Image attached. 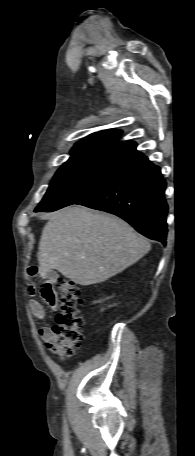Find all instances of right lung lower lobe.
Segmentation results:
<instances>
[{"label":"right lung lower lobe","mask_w":195,"mask_h":456,"mask_svg":"<svg viewBox=\"0 0 195 456\" xmlns=\"http://www.w3.org/2000/svg\"><path fill=\"white\" fill-rule=\"evenodd\" d=\"M165 189L160 168L145 158L76 204L117 215L144 236L166 244Z\"/></svg>","instance_id":"98d812e1"}]
</instances>
